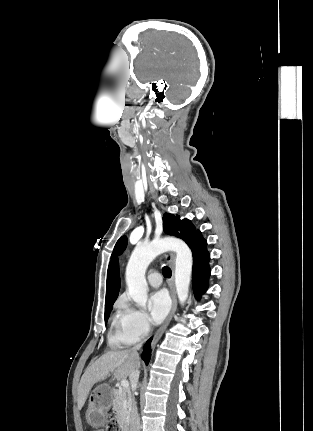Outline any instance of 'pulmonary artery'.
<instances>
[{"instance_id": "e3ab8cb5", "label": "pulmonary artery", "mask_w": 313, "mask_h": 431, "mask_svg": "<svg viewBox=\"0 0 313 431\" xmlns=\"http://www.w3.org/2000/svg\"><path fill=\"white\" fill-rule=\"evenodd\" d=\"M148 283L152 287H159L162 283L161 275L157 271H151L147 276Z\"/></svg>"}]
</instances>
